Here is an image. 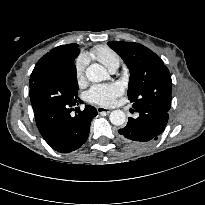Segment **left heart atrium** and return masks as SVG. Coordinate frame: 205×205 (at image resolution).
I'll return each mask as SVG.
<instances>
[{
  "mask_svg": "<svg viewBox=\"0 0 205 205\" xmlns=\"http://www.w3.org/2000/svg\"><path fill=\"white\" fill-rule=\"evenodd\" d=\"M122 92V87L117 83L97 84L87 91L86 98L93 104L108 107L115 104Z\"/></svg>",
  "mask_w": 205,
  "mask_h": 205,
  "instance_id": "39dd6f15",
  "label": "left heart atrium"
}]
</instances>
